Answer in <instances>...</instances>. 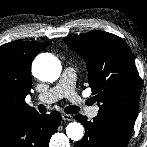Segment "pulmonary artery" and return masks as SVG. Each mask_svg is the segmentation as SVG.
<instances>
[{
	"mask_svg": "<svg viewBox=\"0 0 147 147\" xmlns=\"http://www.w3.org/2000/svg\"><path fill=\"white\" fill-rule=\"evenodd\" d=\"M76 73L72 67H66L58 81V83L51 87L46 92L38 95L37 100L42 103H53L59 99L67 98L72 103L79 107L85 106V101L80 97L75 90ZM99 111L98 106L87 108L89 117H96Z\"/></svg>",
	"mask_w": 147,
	"mask_h": 147,
	"instance_id": "obj_1",
	"label": "pulmonary artery"
}]
</instances>
